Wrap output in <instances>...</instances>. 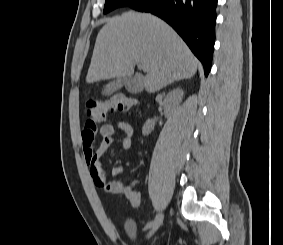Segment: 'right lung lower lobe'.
Returning a JSON list of instances; mask_svg holds the SVG:
<instances>
[{
    "mask_svg": "<svg viewBox=\"0 0 283 245\" xmlns=\"http://www.w3.org/2000/svg\"><path fill=\"white\" fill-rule=\"evenodd\" d=\"M217 0H140L131 8L165 20L202 62L207 76L215 42Z\"/></svg>",
    "mask_w": 283,
    "mask_h": 245,
    "instance_id": "right-lung-lower-lobe-1",
    "label": "right lung lower lobe"
}]
</instances>
